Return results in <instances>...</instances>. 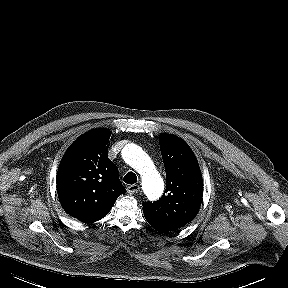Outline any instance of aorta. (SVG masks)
<instances>
[{
    "instance_id": "aorta-1",
    "label": "aorta",
    "mask_w": 288,
    "mask_h": 288,
    "mask_svg": "<svg viewBox=\"0 0 288 288\" xmlns=\"http://www.w3.org/2000/svg\"><path fill=\"white\" fill-rule=\"evenodd\" d=\"M124 161L142 178V187L149 200H157L163 193L164 181L148 155L136 144H127L122 150Z\"/></svg>"
}]
</instances>
